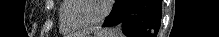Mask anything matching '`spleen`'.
<instances>
[{"label":"spleen","instance_id":"obj_1","mask_svg":"<svg viewBox=\"0 0 219 37\" xmlns=\"http://www.w3.org/2000/svg\"><path fill=\"white\" fill-rule=\"evenodd\" d=\"M111 35H113V36H110V37H124L119 28L112 29L111 30Z\"/></svg>","mask_w":219,"mask_h":37}]
</instances>
